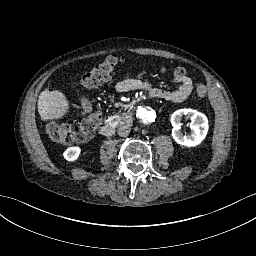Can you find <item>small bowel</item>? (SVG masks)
Masks as SVG:
<instances>
[{
	"instance_id": "obj_1",
	"label": "small bowel",
	"mask_w": 256,
	"mask_h": 256,
	"mask_svg": "<svg viewBox=\"0 0 256 256\" xmlns=\"http://www.w3.org/2000/svg\"><path fill=\"white\" fill-rule=\"evenodd\" d=\"M173 81L178 84L177 88L167 90L152 87L145 81L131 78L129 75H124L119 81H117L115 88L120 92L145 91L153 98L182 102L192 93L194 88L193 81L185 75L181 78H174Z\"/></svg>"
}]
</instances>
